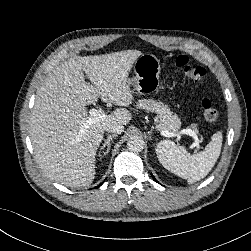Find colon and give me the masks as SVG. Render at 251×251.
<instances>
[{"label":"colon","instance_id":"obj_1","mask_svg":"<svg viewBox=\"0 0 251 251\" xmlns=\"http://www.w3.org/2000/svg\"><path fill=\"white\" fill-rule=\"evenodd\" d=\"M176 65L183 74L193 82H200L205 75V69L202 66L192 64L186 56H179L176 60ZM201 105L204 119L207 122H214L218 119L219 111L210 99L204 98Z\"/></svg>","mask_w":251,"mask_h":251}]
</instances>
